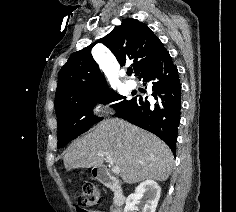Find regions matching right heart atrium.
Masks as SVG:
<instances>
[{"mask_svg":"<svg viewBox=\"0 0 236 212\" xmlns=\"http://www.w3.org/2000/svg\"><path fill=\"white\" fill-rule=\"evenodd\" d=\"M111 111V103L104 101H97L91 108L92 115L95 117H101Z\"/></svg>","mask_w":236,"mask_h":212,"instance_id":"d8ad5b80","label":"right heart atrium"}]
</instances>
